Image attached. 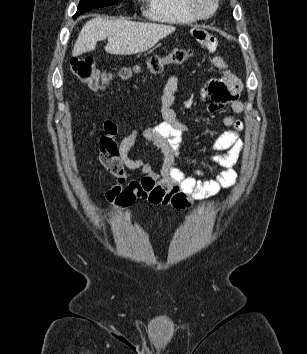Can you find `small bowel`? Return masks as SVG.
<instances>
[{
    "mask_svg": "<svg viewBox=\"0 0 307 354\" xmlns=\"http://www.w3.org/2000/svg\"><path fill=\"white\" fill-rule=\"evenodd\" d=\"M191 35L206 50L213 51L217 48L216 39L208 32L194 29ZM212 62L220 69H227L226 63L220 57H214ZM177 89L178 77L174 74L168 78L163 88L161 97L163 121L145 128L142 132L134 129L117 142L116 123L112 120L103 122L99 161L116 177V183L106 192L109 202L118 206H129L136 200H145L155 205L186 209L195 200L215 196L222 188L230 187L236 182L237 174L234 167L243 148L240 137L243 124L238 116L244 107L237 99L241 83L228 74L224 81L213 80L206 88L212 100L207 105L210 114L220 112L224 105L231 102V113L225 116L221 123L225 130L211 145L214 154L209 158V162L221 169L218 176L212 180H201L205 174L202 168H186L179 160L182 135L190 131V127L177 118L173 109ZM140 135L162 151L164 163L159 173L144 161L130 157L129 153ZM131 170H140L142 177L138 180H129L128 171ZM95 172L99 174L97 168Z\"/></svg>",
    "mask_w": 307,
    "mask_h": 354,
    "instance_id": "c3829d8e",
    "label": "small bowel"
}]
</instances>
